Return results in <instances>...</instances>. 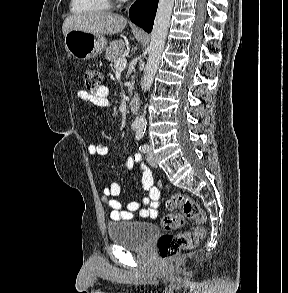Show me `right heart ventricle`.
<instances>
[{
    "mask_svg": "<svg viewBox=\"0 0 288 293\" xmlns=\"http://www.w3.org/2000/svg\"><path fill=\"white\" fill-rule=\"evenodd\" d=\"M110 8V0H71L70 10L75 14L105 11Z\"/></svg>",
    "mask_w": 288,
    "mask_h": 293,
    "instance_id": "obj_1",
    "label": "right heart ventricle"
}]
</instances>
